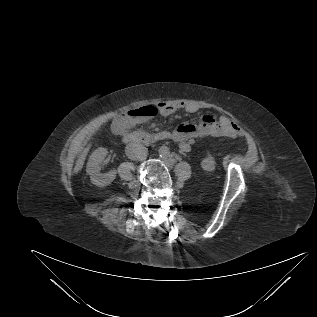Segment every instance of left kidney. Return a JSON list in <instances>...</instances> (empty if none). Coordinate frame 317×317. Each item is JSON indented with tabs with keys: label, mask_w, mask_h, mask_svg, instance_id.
<instances>
[{
	"label": "left kidney",
	"mask_w": 317,
	"mask_h": 317,
	"mask_svg": "<svg viewBox=\"0 0 317 317\" xmlns=\"http://www.w3.org/2000/svg\"><path fill=\"white\" fill-rule=\"evenodd\" d=\"M201 167L205 171H213L215 169V160L211 155H208L201 161Z\"/></svg>",
	"instance_id": "5707ae66"
}]
</instances>
